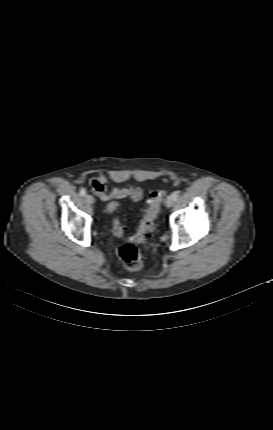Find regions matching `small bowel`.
I'll use <instances>...</instances> for the list:
<instances>
[{
	"instance_id": "1",
	"label": "small bowel",
	"mask_w": 273,
	"mask_h": 430,
	"mask_svg": "<svg viewBox=\"0 0 273 430\" xmlns=\"http://www.w3.org/2000/svg\"><path fill=\"white\" fill-rule=\"evenodd\" d=\"M94 193L103 201L117 200L130 198L132 201H140L144 196V191L138 186H130L126 188H108V179L104 174H100L90 180ZM111 203V202H110Z\"/></svg>"
}]
</instances>
